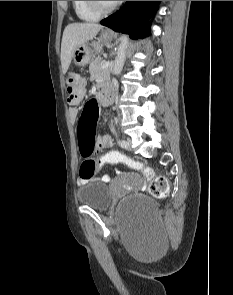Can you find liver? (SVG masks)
Wrapping results in <instances>:
<instances>
[{"label":"liver","mask_w":233,"mask_h":295,"mask_svg":"<svg viewBox=\"0 0 233 295\" xmlns=\"http://www.w3.org/2000/svg\"><path fill=\"white\" fill-rule=\"evenodd\" d=\"M103 28L96 23H72L66 26L61 43V65L65 74L70 66L74 51L83 43L93 39Z\"/></svg>","instance_id":"liver-1"}]
</instances>
